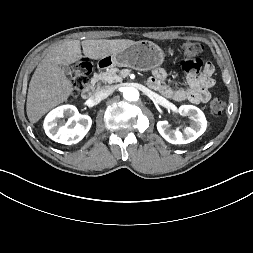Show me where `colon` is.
Segmentation results:
<instances>
[{"label":"colon","instance_id":"5ec220e1","mask_svg":"<svg viewBox=\"0 0 253 253\" xmlns=\"http://www.w3.org/2000/svg\"><path fill=\"white\" fill-rule=\"evenodd\" d=\"M204 45L200 42H186L182 45L181 54L184 59L199 58L203 52ZM200 59V58H199ZM201 60V59H200ZM204 62L201 60V64ZM92 72L91 63L86 60H80L73 67L71 75L72 95L78 96L88 85L89 77ZM210 112L214 116H221L225 109V103L220 98H213L209 104Z\"/></svg>","mask_w":253,"mask_h":253}]
</instances>
